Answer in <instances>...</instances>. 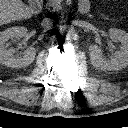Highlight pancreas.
<instances>
[{
    "label": "pancreas",
    "instance_id": "pancreas-1",
    "mask_svg": "<svg viewBox=\"0 0 128 128\" xmlns=\"http://www.w3.org/2000/svg\"><path fill=\"white\" fill-rule=\"evenodd\" d=\"M62 0H48L47 5L52 8L53 11H59L62 9Z\"/></svg>",
    "mask_w": 128,
    "mask_h": 128
}]
</instances>
